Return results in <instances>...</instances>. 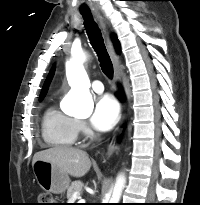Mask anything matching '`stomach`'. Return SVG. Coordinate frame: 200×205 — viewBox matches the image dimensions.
I'll return each mask as SVG.
<instances>
[{
    "mask_svg": "<svg viewBox=\"0 0 200 205\" xmlns=\"http://www.w3.org/2000/svg\"><path fill=\"white\" fill-rule=\"evenodd\" d=\"M33 172L40 187L54 194H62L69 187L70 178L56 165L38 160L33 164Z\"/></svg>",
    "mask_w": 200,
    "mask_h": 205,
    "instance_id": "0dacf381",
    "label": "stomach"
}]
</instances>
